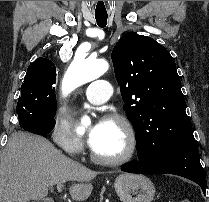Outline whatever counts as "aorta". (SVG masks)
Here are the masks:
<instances>
[{"label":"aorta","mask_w":209,"mask_h":202,"mask_svg":"<svg viewBox=\"0 0 209 202\" xmlns=\"http://www.w3.org/2000/svg\"><path fill=\"white\" fill-rule=\"evenodd\" d=\"M108 69L109 64L104 59H85L76 55L63 79V92L68 93L89 81L99 78ZM88 124H90V119L84 117L76 130L81 133Z\"/></svg>","instance_id":"762f6f07"}]
</instances>
